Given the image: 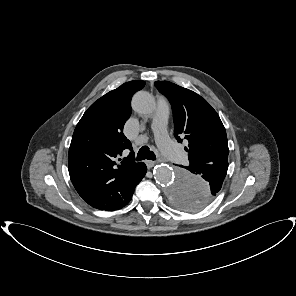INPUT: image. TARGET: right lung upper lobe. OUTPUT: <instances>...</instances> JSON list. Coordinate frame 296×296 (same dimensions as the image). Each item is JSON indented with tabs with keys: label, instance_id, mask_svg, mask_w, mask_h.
<instances>
[{
	"label": "right lung upper lobe",
	"instance_id": "obj_1",
	"mask_svg": "<svg viewBox=\"0 0 296 296\" xmlns=\"http://www.w3.org/2000/svg\"><path fill=\"white\" fill-rule=\"evenodd\" d=\"M144 81H130L105 94L84 113L69 148V175L90 206L99 210L121 209L133 195L132 176L139 165L122 130L131 115L132 95ZM124 149L129 156L115 160Z\"/></svg>",
	"mask_w": 296,
	"mask_h": 296
}]
</instances>
